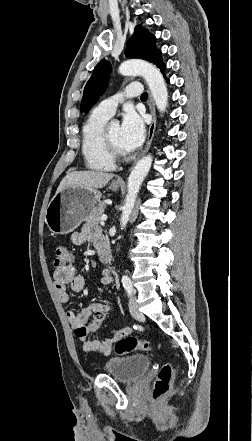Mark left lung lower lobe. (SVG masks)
<instances>
[{
    "instance_id": "1",
    "label": "left lung lower lobe",
    "mask_w": 252,
    "mask_h": 441,
    "mask_svg": "<svg viewBox=\"0 0 252 441\" xmlns=\"http://www.w3.org/2000/svg\"><path fill=\"white\" fill-rule=\"evenodd\" d=\"M157 67L160 68L161 72L164 74L165 71V65L161 60V57L159 58L158 62L156 63Z\"/></svg>"
}]
</instances>
